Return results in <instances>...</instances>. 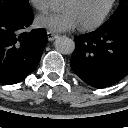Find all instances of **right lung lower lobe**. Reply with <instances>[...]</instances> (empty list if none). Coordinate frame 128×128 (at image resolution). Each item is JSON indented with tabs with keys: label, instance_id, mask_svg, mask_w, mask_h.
Returning a JSON list of instances; mask_svg holds the SVG:
<instances>
[{
	"label": "right lung lower lobe",
	"instance_id": "98d812e1",
	"mask_svg": "<svg viewBox=\"0 0 128 128\" xmlns=\"http://www.w3.org/2000/svg\"><path fill=\"white\" fill-rule=\"evenodd\" d=\"M32 20V13L0 17V83H19L38 66L47 36L43 29L21 33Z\"/></svg>",
	"mask_w": 128,
	"mask_h": 128
}]
</instances>
